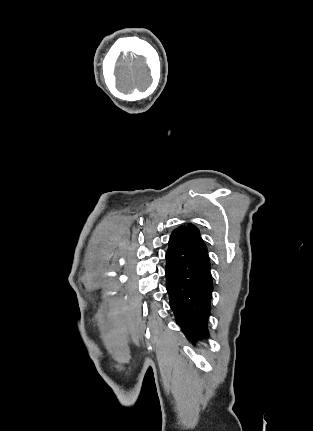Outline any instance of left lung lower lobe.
<instances>
[{"label":"left lung lower lobe","instance_id":"left-lung-lower-lobe-1","mask_svg":"<svg viewBox=\"0 0 313 431\" xmlns=\"http://www.w3.org/2000/svg\"><path fill=\"white\" fill-rule=\"evenodd\" d=\"M166 288L176 323L193 343L208 338L213 291L207 248L187 226L172 232L166 252Z\"/></svg>","mask_w":313,"mask_h":431}]
</instances>
